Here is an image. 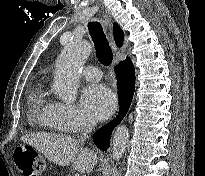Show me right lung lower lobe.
Instances as JSON below:
<instances>
[{
	"label": "right lung lower lobe",
	"instance_id": "1",
	"mask_svg": "<svg viewBox=\"0 0 205 176\" xmlns=\"http://www.w3.org/2000/svg\"><path fill=\"white\" fill-rule=\"evenodd\" d=\"M116 72L118 75V94L120 97V109L118 116L93 135L94 143L103 151H106L110 145V138L113 129L126 115L135 90V70L130 59L127 58L125 61H122L117 65Z\"/></svg>",
	"mask_w": 205,
	"mask_h": 176
}]
</instances>
